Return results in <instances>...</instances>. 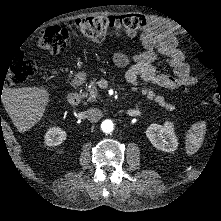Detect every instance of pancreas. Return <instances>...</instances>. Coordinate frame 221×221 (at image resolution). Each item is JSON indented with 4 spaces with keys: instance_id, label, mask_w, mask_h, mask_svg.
<instances>
[{
    "instance_id": "1",
    "label": "pancreas",
    "mask_w": 221,
    "mask_h": 221,
    "mask_svg": "<svg viewBox=\"0 0 221 221\" xmlns=\"http://www.w3.org/2000/svg\"><path fill=\"white\" fill-rule=\"evenodd\" d=\"M88 89L89 97L87 99L88 102H95L97 97V87L98 80L97 79H89L88 80ZM141 94L152 103L157 104L162 108V110L167 114H173L176 111V106L170 102L167 98H165L162 94L154 92L149 86H144L141 89Z\"/></svg>"
}]
</instances>
